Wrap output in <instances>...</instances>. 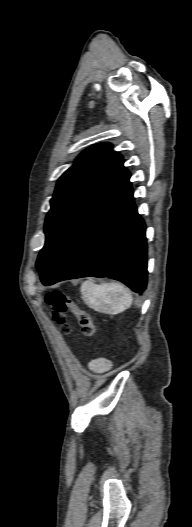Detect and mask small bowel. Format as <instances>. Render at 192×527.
I'll use <instances>...</instances> for the list:
<instances>
[{"label": "small bowel", "instance_id": "1", "mask_svg": "<svg viewBox=\"0 0 192 527\" xmlns=\"http://www.w3.org/2000/svg\"><path fill=\"white\" fill-rule=\"evenodd\" d=\"M110 366H111L110 361L104 358H98V359L92 360L89 364V368L96 373L104 372L108 370Z\"/></svg>", "mask_w": 192, "mask_h": 527}]
</instances>
